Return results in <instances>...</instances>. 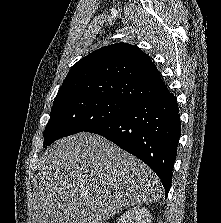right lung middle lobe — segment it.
Listing matches in <instances>:
<instances>
[{"instance_id":"dd1d6c3e","label":"right lung middle lobe","mask_w":221,"mask_h":223,"mask_svg":"<svg viewBox=\"0 0 221 223\" xmlns=\"http://www.w3.org/2000/svg\"><path fill=\"white\" fill-rule=\"evenodd\" d=\"M134 104L100 96H83L53 103L44 131L47 147L61 137L86 131L127 111Z\"/></svg>"}]
</instances>
